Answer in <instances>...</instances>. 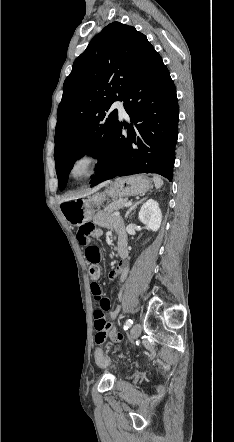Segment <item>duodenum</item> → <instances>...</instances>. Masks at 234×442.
<instances>
[{
	"label": "duodenum",
	"instance_id": "obj_1",
	"mask_svg": "<svg viewBox=\"0 0 234 442\" xmlns=\"http://www.w3.org/2000/svg\"><path fill=\"white\" fill-rule=\"evenodd\" d=\"M121 246H122V242L119 241V242H118V247H121Z\"/></svg>",
	"mask_w": 234,
	"mask_h": 442
}]
</instances>
